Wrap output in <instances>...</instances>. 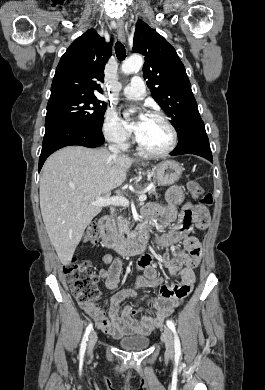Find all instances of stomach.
<instances>
[{
	"instance_id": "stomach-1",
	"label": "stomach",
	"mask_w": 265,
	"mask_h": 390,
	"mask_svg": "<svg viewBox=\"0 0 265 390\" xmlns=\"http://www.w3.org/2000/svg\"><path fill=\"white\" fill-rule=\"evenodd\" d=\"M183 172L182 166L173 160L164 161L152 169L154 181L160 186L175 183Z\"/></svg>"
}]
</instances>
